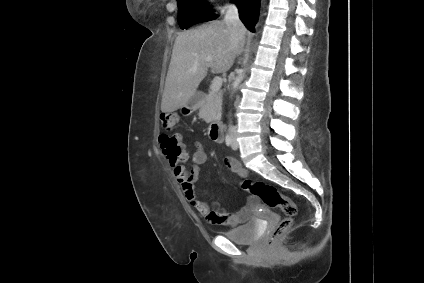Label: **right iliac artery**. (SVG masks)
<instances>
[{
	"label": "right iliac artery",
	"mask_w": 424,
	"mask_h": 283,
	"mask_svg": "<svg viewBox=\"0 0 424 283\" xmlns=\"http://www.w3.org/2000/svg\"><path fill=\"white\" fill-rule=\"evenodd\" d=\"M225 143L227 146H230L232 144V137L230 133H227L225 136Z\"/></svg>",
	"instance_id": "82829eb1"
}]
</instances>
